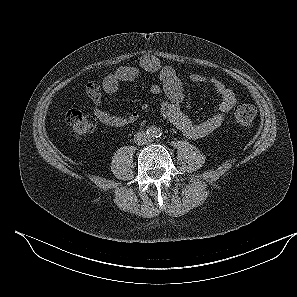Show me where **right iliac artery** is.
Instances as JSON below:
<instances>
[{
	"label": "right iliac artery",
	"instance_id": "obj_1",
	"mask_svg": "<svg viewBox=\"0 0 297 297\" xmlns=\"http://www.w3.org/2000/svg\"><path fill=\"white\" fill-rule=\"evenodd\" d=\"M149 130V132H152V129H148Z\"/></svg>",
	"mask_w": 297,
	"mask_h": 297
}]
</instances>
